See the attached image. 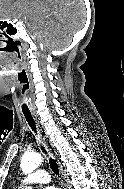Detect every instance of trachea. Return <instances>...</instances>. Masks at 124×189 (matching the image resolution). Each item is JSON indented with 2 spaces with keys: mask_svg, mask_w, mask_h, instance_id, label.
Listing matches in <instances>:
<instances>
[{
  "mask_svg": "<svg viewBox=\"0 0 124 189\" xmlns=\"http://www.w3.org/2000/svg\"><path fill=\"white\" fill-rule=\"evenodd\" d=\"M24 116H25L27 122L29 123V125L31 126V128L36 132L35 122H34L32 116H31V113L30 112H24ZM42 150H43V152H45L43 147H42ZM49 163H50V167H51L52 171L55 174H59L58 165L55 162V160L50 158Z\"/></svg>",
  "mask_w": 124,
  "mask_h": 189,
  "instance_id": "trachea-1",
  "label": "trachea"
}]
</instances>
